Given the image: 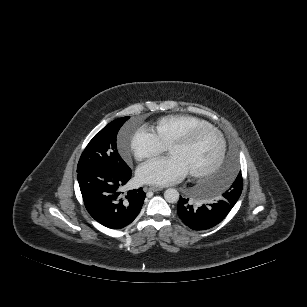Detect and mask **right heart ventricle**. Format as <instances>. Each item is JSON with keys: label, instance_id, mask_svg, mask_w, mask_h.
I'll list each match as a JSON object with an SVG mask.
<instances>
[{"label": "right heart ventricle", "instance_id": "right-heart-ventricle-1", "mask_svg": "<svg viewBox=\"0 0 307 307\" xmlns=\"http://www.w3.org/2000/svg\"><path fill=\"white\" fill-rule=\"evenodd\" d=\"M210 125V123L202 118L189 114H175L161 117L154 126L155 134L159 140L168 146L174 139L181 136L189 130Z\"/></svg>", "mask_w": 307, "mask_h": 307}]
</instances>
